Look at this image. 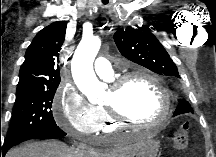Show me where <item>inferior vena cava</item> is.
Returning <instances> with one entry per match:
<instances>
[{"instance_id":"obj_1","label":"inferior vena cava","mask_w":216,"mask_h":157,"mask_svg":"<svg viewBox=\"0 0 216 157\" xmlns=\"http://www.w3.org/2000/svg\"><path fill=\"white\" fill-rule=\"evenodd\" d=\"M85 148V145L84 144H80L78 149H84Z\"/></svg>"}]
</instances>
